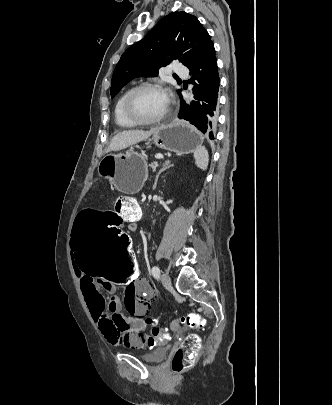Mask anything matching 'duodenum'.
Returning a JSON list of instances; mask_svg holds the SVG:
<instances>
[{"mask_svg":"<svg viewBox=\"0 0 332 405\" xmlns=\"http://www.w3.org/2000/svg\"><path fill=\"white\" fill-rule=\"evenodd\" d=\"M141 213L140 212H134L130 218L133 222H138L141 219Z\"/></svg>","mask_w":332,"mask_h":405,"instance_id":"duodenum-1","label":"duodenum"}]
</instances>
